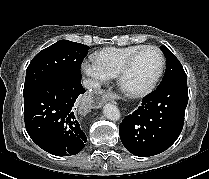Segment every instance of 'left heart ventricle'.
<instances>
[{
	"label": "left heart ventricle",
	"instance_id": "obj_1",
	"mask_svg": "<svg viewBox=\"0 0 209 179\" xmlns=\"http://www.w3.org/2000/svg\"><path fill=\"white\" fill-rule=\"evenodd\" d=\"M161 64L159 53L154 49L144 51L135 61L124 79V87L135 91L149 85L157 75Z\"/></svg>",
	"mask_w": 209,
	"mask_h": 179
}]
</instances>
